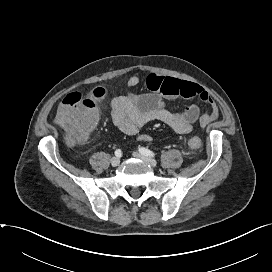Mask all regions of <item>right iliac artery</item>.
I'll return each mask as SVG.
<instances>
[{
	"instance_id": "82829eb1",
	"label": "right iliac artery",
	"mask_w": 272,
	"mask_h": 272,
	"mask_svg": "<svg viewBox=\"0 0 272 272\" xmlns=\"http://www.w3.org/2000/svg\"><path fill=\"white\" fill-rule=\"evenodd\" d=\"M115 155H116V157H121V156H122L121 150H120V149H117V150L115 151Z\"/></svg>"
}]
</instances>
